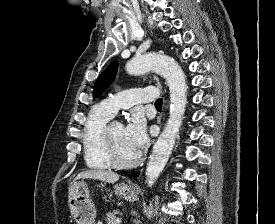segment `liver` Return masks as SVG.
<instances>
[{
	"label": "liver",
	"mask_w": 275,
	"mask_h": 224,
	"mask_svg": "<svg viewBox=\"0 0 275 224\" xmlns=\"http://www.w3.org/2000/svg\"><path fill=\"white\" fill-rule=\"evenodd\" d=\"M75 179L76 180L77 179H97V180L105 181L107 183H114L118 181L119 175L112 171H106L102 169H92V170L80 172Z\"/></svg>",
	"instance_id": "obj_1"
}]
</instances>
